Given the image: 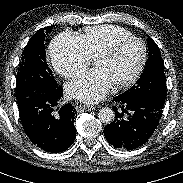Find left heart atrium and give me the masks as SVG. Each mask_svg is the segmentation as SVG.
<instances>
[{
	"mask_svg": "<svg viewBox=\"0 0 183 183\" xmlns=\"http://www.w3.org/2000/svg\"><path fill=\"white\" fill-rule=\"evenodd\" d=\"M112 86L105 73L94 68L66 86L67 93L83 102L95 103L106 96Z\"/></svg>",
	"mask_w": 183,
	"mask_h": 183,
	"instance_id": "39dd6f15",
	"label": "left heart atrium"
}]
</instances>
